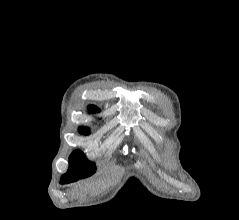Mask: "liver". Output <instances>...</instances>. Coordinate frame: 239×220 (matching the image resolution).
<instances>
[{"instance_id":"obj_1","label":"liver","mask_w":239,"mask_h":220,"mask_svg":"<svg viewBox=\"0 0 239 220\" xmlns=\"http://www.w3.org/2000/svg\"><path fill=\"white\" fill-rule=\"evenodd\" d=\"M84 189L87 190V189H88V186H86Z\"/></svg>"}]
</instances>
